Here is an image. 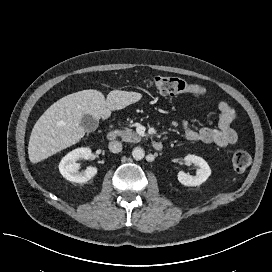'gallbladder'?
<instances>
[{"label": "gallbladder", "mask_w": 272, "mask_h": 272, "mask_svg": "<svg viewBox=\"0 0 272 272\" xmlns=\"http://www.w3.org/2000/svg\"><path fill=\"white\" fill-rule=\"evenodd\" d=\"M98 120H96L93 116L89 114H85L81 120V126L84 128L86 132L95 131L98 127Z\"/></svg>", "instance_id": "obj_1"}]
</instances>
